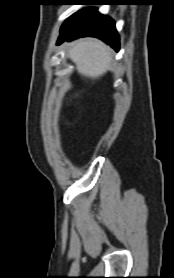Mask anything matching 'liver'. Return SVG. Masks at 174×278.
I'll return each instance as SVG.
<instances>
[{
  "mask_svg": "<svg viewBox=\"0 0 174 278\" xmlns=\"http://www.w3.org/2000/svg\"><path fill=\"white\" fill-rule=\"evenodd\" d=\"M68 55L81 75L97 79L111 66L109 48L97 39L84 38L69 45Z\"/></svg>",
  "mask_w": 174,
  "mask_h": 278,
  "instance_id": "1",
  "label": "liver"
}]
</instances>
